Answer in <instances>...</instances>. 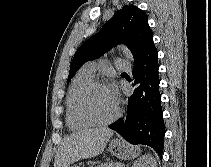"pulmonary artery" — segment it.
I'll return each instance as SVG.
<instances>
[{
  "label": "pulmonary artery",
  "mask_w": 211,
  "mask_h": 167,
  "mask_svg": "<svg viewBox=\"0 0 211 167\" xmlns=\"http://www.w3.org/2000/svg\"><path fill=\"white\" fill-rule=\"evenodd\" d=\"M101 66H109L105 63H101ZM98 63L96 62H88L85 64L84 69L89 71L90 73L94 74L97 69ZM114 66L120 70H128L129 69V62L126 59L118 58L115 60Z\"/></svg>",
  "instance_id": "1"
}]
</instances>
